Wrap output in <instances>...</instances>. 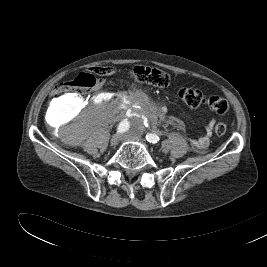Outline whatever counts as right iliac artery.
<instances>
[{"label": "right iliac artery", "instance_id": "82829eb1", "mask_svg": "<svg viewBox=\"0 0 267 267\" xmlns=\"http://www.w3.org/2000/svg\"><path fill=\"white\" fill-rule=\"evenodd\" d=\"M129 129V124H128V122L127 121H122L120 124H119V126H118V128H117V132L118 133H124V132H126L127 130Z\"/></svg>", "mask_w": 267, "mask_h": 267}]
</instances>
